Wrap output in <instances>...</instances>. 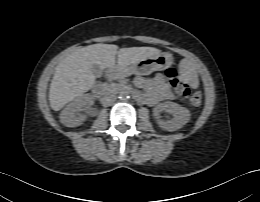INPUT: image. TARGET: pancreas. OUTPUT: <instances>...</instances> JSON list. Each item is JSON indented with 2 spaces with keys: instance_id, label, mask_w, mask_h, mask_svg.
<instances>
[{
  "instance_id": "obj_1",
  "label": "pancreas",
  "mask_w": 260,
  "mask_h": 202,
  "mask_svg": "<svg viewBox=\"0 0 260 202\" xmlns=\"http://www.w3.org/2000/svg\"><path fill=\"white\" fill-rule=\"evenodd\" d=\"M104 89L107 91H112V90H116L117 88H119L120 85L116 84V83H111V84H103Z\"/></svg>"
}]
</instances>
